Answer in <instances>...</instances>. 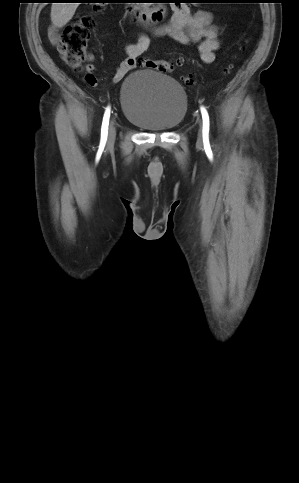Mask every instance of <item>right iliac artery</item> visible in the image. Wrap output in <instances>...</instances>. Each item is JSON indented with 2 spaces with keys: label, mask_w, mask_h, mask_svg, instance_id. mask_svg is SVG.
<instances>
[{
  "label": "right iliac artery",
  "mask_w": 299,
  "mask_h": 483,
  "mask_svg": "<svg viewBox=\"0 0 299 483\" xmlns=\"http://www.w3.org/2000/svg\"><path fill=\"white\" fill-rule=\"evenodd\" d=\"M109 118H110V107L106 109L103 117V122L101 127V141H100L101 146H104L107 140Z\"/></svg>",
  "instance_id": "82829eb1"
}]
</instances>
